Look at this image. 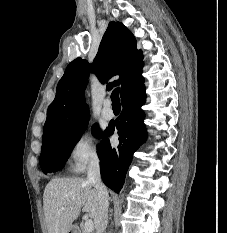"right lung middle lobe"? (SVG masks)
Wrapping results in <instances>:
<instances>
[{
	"label": "right lung middle lobe",
	"instance_id": "dd1d6c3e",
	"mask_svg": "<svg viewBox=\"0 0 227 233\" xmlns=\"http://www.w3.org/2000/svg\"><path fill=\"white\" fill-rule=\"evenodd\" d=\"M86 127L87 123L82 124L64 135L43 143L40 166L45 174L58 171L64 166ZM92 132L97 138L104 135L96 125L92 126Z\"/></svg>",
	"mask_w": 227,
	"mask_h": 233
}]
</instances>
